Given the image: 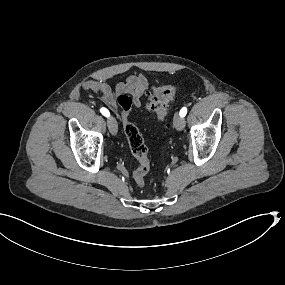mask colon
Listing matches in <instances>:
<instances>
[{"label":"colon","mask_w":285,"mask_h":285,"mask_svg":"<svg viewBox=\"0 0 285 285\" xmlns=\"http://www.w3.org/2000/svg\"><path fill=\"white\" fill-rule=\"evenodd\" d=\"M177 89L166 85L154 88L149 94L147 108L152 111L159 121H164L170 102L175 98ZM117 104L121 111L124 132L132 155L139 165L134 171L133 178L139 187H144L145 178L150 171L148 148L139 129L129 120V114L135 105L134 96L130 93H121L117 96Z\"/></svg>","instance_id":"5ec220e1"}]
</instances>
